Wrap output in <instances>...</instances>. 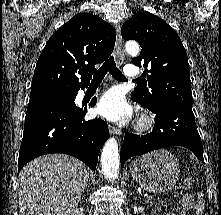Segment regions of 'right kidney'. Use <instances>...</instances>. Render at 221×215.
<instances>
[{"label": "right kidney", "mask_w": 221, "mask_h": 215, "mask_svg": "<svg viewBox=\"0 0 221 215\" xmlns=\"http://www.w3.org/2000/svg\"><path fill=\"white\" fill-rule=\"evenodd\" d=\"M71 215H82V209L74 210V213H72Z\"/></svg>", "instance_id": "1"}]
</instances>
